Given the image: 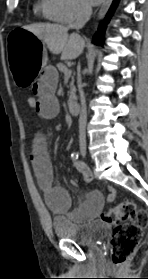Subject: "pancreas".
I'll list each match as a JSON object with an SVG mask.
<instances>
[{"instance_id":"cf45deb5","label":"pancreas","mask_w":148,"mask_h":279,"mask_svg":"<svg viewBox=\"0 0 148 279\" xmlns=\"http://www.w3.org/2000/svg\"><path fill=\"white\" fill-rule=\"evenodd\" d=\"M58 69L63 72L65 74V71L68 70L63 64L59 63L57 65ZM69 71V70H68ZM75 86H74V80L72 79V82H71V98L75 99L76 98V95H75Z\"/></svg>"}]
</instances>
